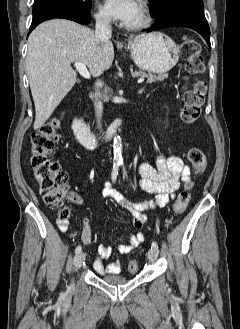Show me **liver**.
Listing matches in <instances>:
<instances>
[{"instance_id":"6515ba94","label":"liver","mask_w":240,"mask_h":329,"mask_svg":"<svg viewBox=\"0 0 240 329\" xmlns=\"http://www.w3.org/2000/svg\"><path fill=\"white\" fill-rule=\"evenodd\" d=\"M113 44L98 42L88 27L54 19L41 23L28 38L26 69L35 104L34 130L48 120L76 82L71 63L85 64L92 75L108 70Z\"/></svg>"}]
</instances>
